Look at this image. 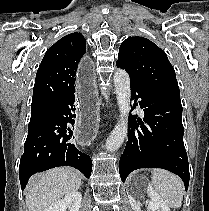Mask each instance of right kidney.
Segmentation results:
<instances>
[{
	"mask_svg": "<svg viewBox=\"0 0 209 211\" xmlns=\"http://www.w3.org/2000/svg\"><path fill=\"white\" fill-rule=\"evenodd\" d=\"M82 202V194L80 192H72L67 194L63 199L52 204L46 211H79Z\"/></svg>",
	"mask_w": 209,
	"mask_h": 211,
	"instance_id": "ca27d5eb",
	"label": "right kidney"
}]
</instances>
